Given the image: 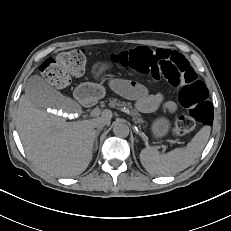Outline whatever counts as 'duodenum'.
Segmentation results:
<instances>
[{
	"label": "duodenum",
	"instance_id": "duodenum-1",
	"mask_svg": "<svg viewBox=\"0 0 231 231\" xmlns=\"http://www.w3.org/2000/svg\"><path fill=\"white\" fill-rule=\"evenodd\" d=\"M81 103L84 107H89L91 105L90 101H82Z\"/></svg>",
	"mask_w": 231,
	"mask_h": 231
}]
</instances>
